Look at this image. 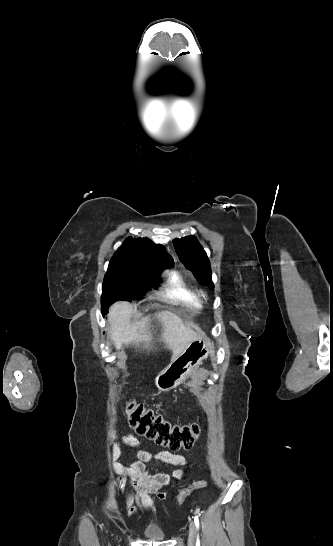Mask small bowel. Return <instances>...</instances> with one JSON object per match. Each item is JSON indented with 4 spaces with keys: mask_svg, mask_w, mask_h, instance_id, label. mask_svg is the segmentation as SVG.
I'll return each mask as SVG.
<instances>
[{
    "mask_svg": "<svg viewBox=\"0 0 333 546\" xmlns=\"http://www.w3.org/2000/svg\"><path fill=\"white\" fill-rule=\"evenodd\" d=\"M123 442L132 449L136 450V460L130 467L114 463L113 468L118 474L119 481L127 479L133 481L132 487L135 494L130 493L126 499V513L129 517L143 515L147 510L151 516H155L156 511L150 506H146L149 494H155L160 500L166 499L165 487L172 480H179L183 477L182 469L175 470L171 475L165 473H151L146 471L145 463L150 460H159L165 463L184 466L187 459L180 454L172 453L166 450L149 451L141 448L139 442L132 433L123 436ZM120 455V444L115 443L112 449V457L116 460ZM136 502V506L133 503Z\"/></svg>",
    "mask_w": 333,
    "mask_h": 546,
    "instance_id": "1",
    "label": "small bowel"
}]
</instances>
